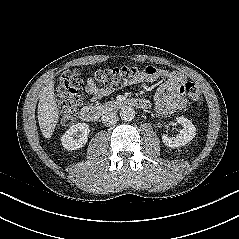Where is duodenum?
Returning <instances> with one entry per match:
<instances>
[{
  "mask_svg": "<svg viewBox=\"0 0 239 239\" xmlns=\"http://www.w3.org/2000/svg\"><path fill=\"white\" fill-rule=\"evenodd\" d=\"M126 106H133L142 110H147L149 109L150 104L146 99L142 98H120L116 101L107 102L100 107L86 105L82 107L80 117L85 122H96L101 115Z\"/></svg>",
  "mask_w": 239,
  "mask_h": 239,
  "instance_id": "410a0bca",
  "label": "duodenum"
}]
</instances>
